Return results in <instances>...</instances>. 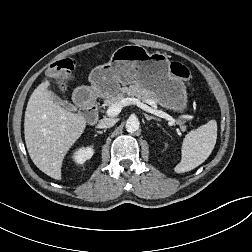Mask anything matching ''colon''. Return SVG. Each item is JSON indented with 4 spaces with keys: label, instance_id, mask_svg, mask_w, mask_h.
<instances>
[{
    "label": "colon",
    "instance_id": "1",
    "mask_svg": "<svg viewBox=\"0 0 252 252\" xmlns=\"http://www.w3.org/2000/svg\"><path fill=\"white\" fill-rule=\"evenodd\" d=\"M74 61L72 59H63L53 65L47 71V76L51 79H56L61 77L65 72H69L74 68ZM171 73L184 80L188 81L190 79V72L186 66L181 63L173 62L170 66Z\"/></svg>",
    "mask_w": 252,
    "mask_h": 252
}]
</instances>
